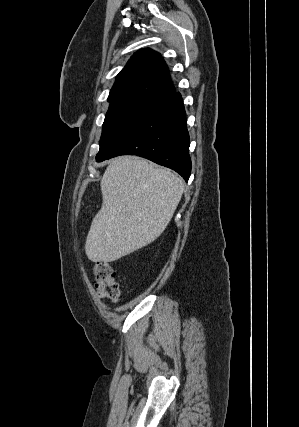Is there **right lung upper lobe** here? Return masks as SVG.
Returning <instances> with one entry per match:
<instances>
[{
  "mask_svg": "<svg viewBox=\"0 0 299 427\" xmlns=\"http://www.w3.org/2000/svg\"><path fill=\"white\" fill-rule=\"evenodd\" d=\"M175 88L161 55L151 49L137 51L119 72L108 100L136 98L157 102Z\"/></svg>",
  "mask_w": 299,
  "mask_h": 427,
  "instance_id": "right-lung-upper-lobe-1",
  "label": "right lung upper lobe"
}]
</instances>
